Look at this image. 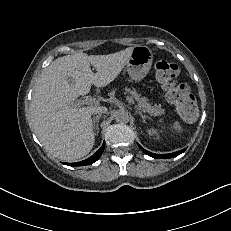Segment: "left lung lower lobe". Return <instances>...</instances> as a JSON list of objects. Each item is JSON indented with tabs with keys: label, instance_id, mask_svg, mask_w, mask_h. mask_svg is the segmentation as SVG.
Segmentation results:
<instances>
[{
	"label": "left lung lower lobe",
	"instance_id": "obj_1",
	"mask_svg": "<svg viewBox=\"0 0 231 231\" xmlns=\"http://www.w3.org/2000/svg\"><path fill=\"white\" fill-rule=\"evenodd\" d=\"M139 147L142 149V151H143L145 154H147V155H149V156H151V157H153V158H159V159L172 158V157H175V156L180 155L181 153H183V152L185 151V149H183V150H180V151H178V152H174V153H170V154H154V153H151V152H149V151H146V150L143 149L141 146H139Z\"/></svg>",
	"mask_w": 231,
	"mask_h": 231
}]
</instances>
